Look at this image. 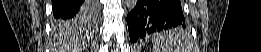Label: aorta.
I'll list each match as a JSON object with an SVG mask.
<instances>
[{"label":"aorta","mask_w":261,"mask_h":52,"mask_svg":"<svg viewBox=\"0 0 261 52\" xmlns=\"http://www.w3.org/2000/svg\"><path fill=\"white\" fill-rule=\"evenodd\" d=\"M138 3V0H125V6L126 8L131 11L133 10Z\"/></svg>","instance_id":"762f6f07"}]
</instances>
